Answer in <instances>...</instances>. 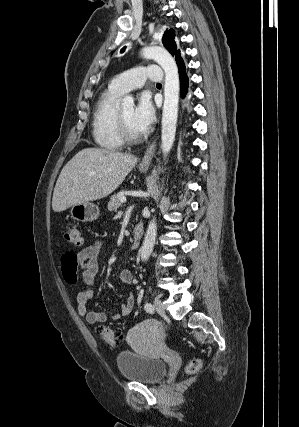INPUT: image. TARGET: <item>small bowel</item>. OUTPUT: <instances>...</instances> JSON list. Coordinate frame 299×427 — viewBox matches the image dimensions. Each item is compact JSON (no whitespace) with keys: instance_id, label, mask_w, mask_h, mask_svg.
Returning a JSON list of instances; mask_svg holds the SVG:
<instances>
[{"instance_id":"small-bowel-1","label":"small bowel","mask_w":299,"mask_h":427,"mask_svg":"<svg viewBox=\"0 0 299 427\" xmlns=\"http://www.w3.org/2000/svg\"><path fill=\"white\" fill-rule=\"evenodd\" d=\"M102 239L98 238L79 252H67L61 257V268L65 281L68 284H76L79 280L78 267H82V280L85 289L77 294L78 313L84 317L88 324L105 323L107 316L103 312L88 310V303L94 295L93 285L100 270V254ZM119 280L125 285L134 282L133 273L124 269L119 274ZM134 306V297L129 295L118 312L112 315V320L119 321L128 316Z\"/></svg>"}]
</instances>
